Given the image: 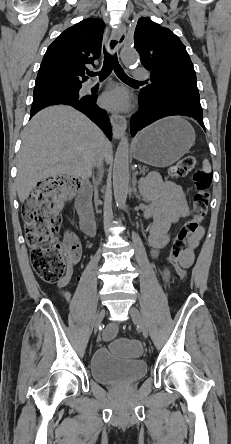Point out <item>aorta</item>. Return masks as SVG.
Returning <instances> with one entry per match:
<instances>
[{
	"instance_id": "1",
	"label": "aorta",
	"mask_w": 231,
	"mask_h": 444,
	"mask_svg": "<svg viewBox=\"0 0 231 444\" xmlns=\"http://www.w3.org/2000/svg\"><path fill=\"white\" fill-rule=\"evenodd\" d=\"M121 59L125 65H137L139 56L131 49H125L121 53ZM129 188V142L127 136H123L113 164V191L116 204L122 208L127 199Z\"/></svg>"
}]
</instances>
